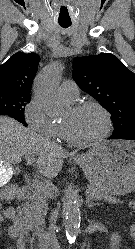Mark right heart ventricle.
<instances>
[{"mask_svg":"<svg viewBox=\"0 0 135 249\" xmlns=\"http://www.w3.org/2000/svg\"><path fill=\"white\" fill-rule=\"evenodd\" d=\"M58 130H59V132H58L59 133V137L66 138L63 126H59L58 125Z\"/></svg>","mask_w":135,"mask_h":249,"instance_id":"obj_1","label":"right heart ventricle"}]
</instances>
